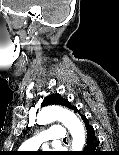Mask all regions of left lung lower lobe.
<instances>
[{"label": "left lung lower lobe", "mask_w": 119, "mask_h": 155, "mask_svg": "<svg viewBox=\"0 0 119 155\" xmlns=\"http://www.w3.org/2000/svg\"><path fill=\"white\" fill-rule=\"evenodd\" d=\"M73 110L76 113L79 112L76 107H74ZM80 116L85 126L86 146L84 150L77 155H101L99 153V140L95 134L93 126L88 122L85 115L80 114Z\"/></svg>", "instance_id": "1"}]
</instances>
